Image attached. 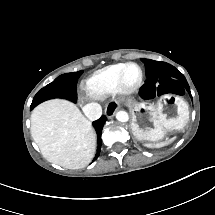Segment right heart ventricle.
<instances>
[{"mask_svg":"<svg viewBox=\"0 0 215 215\" xmlns=\"http://www.w3.org/2000/svg\"><path fill=\"white\" fill-rule=\"evenodd\" d=\"M122 63L108 65L94 72L86 81L90 87L109 88L117 73L122 70Z\"/></svg>","mask_w":215,"mask_h":215,"instance_id":"1","label":"right heart ventricle"}]
</instances>
